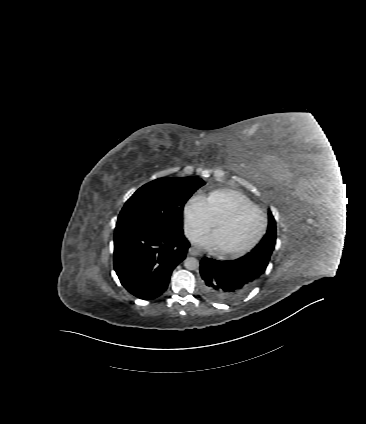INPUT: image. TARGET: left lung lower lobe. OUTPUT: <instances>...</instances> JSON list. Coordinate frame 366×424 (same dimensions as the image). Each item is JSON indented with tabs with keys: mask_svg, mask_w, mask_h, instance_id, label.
<instances>
[{
	"mask_svg": "<svg viewBox=\"0 0 366 424\" xmlns=\"http://www.w3.org/2000/svg\"><path fill=\"white\" fill-rule=\"evenodd\" d=\"M267 265L248 254L233 261L205 257L200 262V291L217 302L238 300L259 283Z\"/></svg>",
	"mask_w": 366,
	"mask_h": 424,
	"instance_id": "0a47b994",
	"label": "left lung lower lobe"
}]
</instances>
